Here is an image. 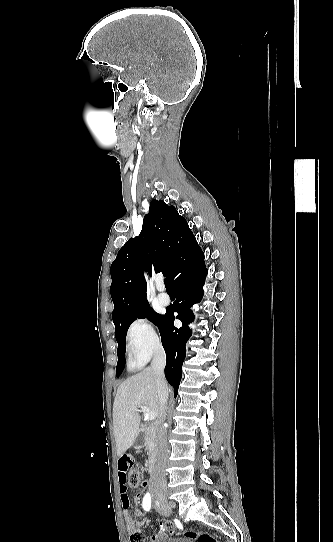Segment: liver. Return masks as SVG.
Returning <instances> with one entry per match:
<instances>
[{"instance_id": "6515ba94", "label": "liver", "mask_w": 333, "mask_h": 542, "mask_svg": "<svg viewBox=\"0 0 333 542\" xmlns=\"http://www.w3.org/2000/svg\"><path fill=\"white\" fill-rule=\"evenodd\" d=\"M138 406H146L160 418L155 372L145 368L119 386L113 404V432L118 458L133 446L139 434L141 418Z\"/></svg>"}]
</instances>
